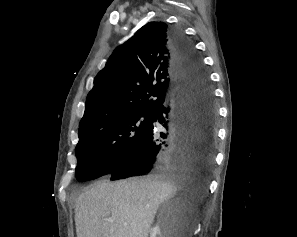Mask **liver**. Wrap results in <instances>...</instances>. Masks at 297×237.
Segmentation results:
<instances>
[{
  "instance_id": "6515ba94",
  "label": "liver",
  "mask_w": 297,
  "mask_h": 237,
  "mask_svg": "<svg viewBox=\"0 0 297 237\" xmlns=\"http://www.w3.org/2000/svg\"><path fill=\"white\" fill-rule=\"evenodd\" d=\"M192 181L172 174L96 182L77 198V237H148L160 204Z\"/></svg>"
}]
</instances>
